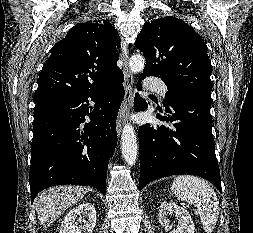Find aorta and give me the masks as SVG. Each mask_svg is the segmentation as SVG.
<instances>
[{
  "mask_svg": "<svg viewBox=\"0 0 253 233\" xmlns=\"http://www.w3.org/2000/svg\"><path fill=\"white\" fill-rule=\"evenodd\" d=\"M145 59L140 54L132 55L129 60V68L132 73H138L143 70ZM121 150L126 163L132 166L136 163L138 154L137 137L134 128L126 124L121 136Z\"/></svg>",
  "mask_w": 253,
  "mask_h": 233,
  "instance_id": "obj_1",
  "label": "aorta"
}]
</instances>
